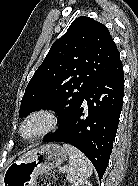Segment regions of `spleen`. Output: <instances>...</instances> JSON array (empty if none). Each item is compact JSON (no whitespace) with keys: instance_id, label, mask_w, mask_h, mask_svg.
Listing matches in <instances>:
<instances>
[{"instance_id":"1","label":"spleen","mask_w":138,"mask_h":186,"mask_svg":"<svg viewBox=\"0 0 138 186\" xmlns=\"http://www.w3.org/2000/svg\"><path fill=\"white\" fill-rule=\"evenodd\" d=\"M63 149L69 155V169L67 171L69 182L82 181L92 175L93 165L81 151L69 144H63Z\"/></svg>"}]
</instances>
